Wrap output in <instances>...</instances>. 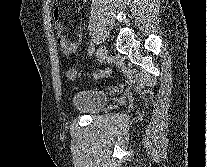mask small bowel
I'll return each mask as SVG.
<instances>
[{
  "instance_id": "obj_1",
  "label": "small bowel",
  "mask_w": 207,
  "mask_h": 167,
  "mask_svg": "<svg viewBox=\"0 0 207 167\" xmlns=\"http://www.w3.org/2000/svg\"><path fill=\"white\" fill-rule=\"evenodd\" d=\"M81 6H84L87 0H79ZM60 12L57 8L54 12V19H55V28L58 33V43L61 46L62 52L64 55H70L77 51L82 39H83V31L80 30L77 34L75 39H70L67 37L65 33V27L63 23L60 21Z\"/></svg>"
}]
</instances>
